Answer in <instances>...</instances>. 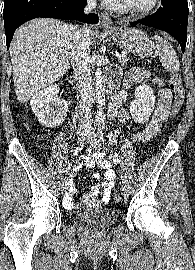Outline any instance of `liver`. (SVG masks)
<instances>
[{
    "mask_svg": "<svg viewBox=\"0 0 195 270\" xmlns=\"http://www.w3.org/2000/svg\"><path fill=\"white\" fill-rule=\"evenodd\" d=\"M77 27L56 19H34L19 27L10 45L17 100L27 102L60 79L70 67ZM89 36L96 33L89 28Z\"/></svg>",
    "mask_w": 195,
    "mask_h": 270,
    "instance_id": "1",
    "label": "liver"
}]
</instances>
